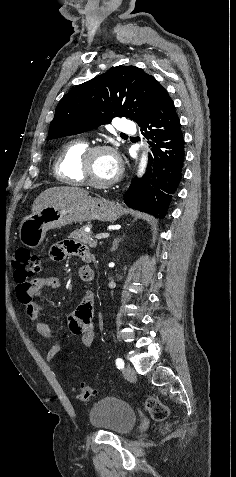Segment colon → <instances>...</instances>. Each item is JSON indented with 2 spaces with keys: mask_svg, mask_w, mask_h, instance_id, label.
I'll return each instance as SVG.
<instances>
[{
  "mask_svg": "<svg viewBox=\"0 0 236 477\" xmlns=\"http://www.w3.org/2000/svg\"><path fill=\"white\" fill-rule=\"evenodd\" d=\"M40 258L34 255L30 249L21 247L16 250L13 258L14 280L16 282L17 295L32 289V279L40 271ZM93 396V389L81 384L77 389V397L82 401H88ZM146 407L156 420H163L168 415V408L156 398H148Z\"/></svg>",
  "mask_w": 236,
  "mask_h": 477,
  "instance_id": "obj_1",
  "label": "colon"
}]
</instances>
